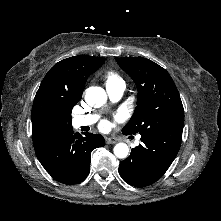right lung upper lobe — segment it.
Wrapping results in <instances>:
<instances>
[{
    "label": "right lung upper lobe",
    "instance_id": "cb5924a9",
    "mask_svg": "<svg viewBox=\"0 0 221 221\" xmlns=\"http://www.w3.org/2000/svg\"><path fill=\"white\" fill-rule=\"evenodd\" d=\"M104 59L73 56L55 64L44 77L32 107L34 148L39 149L72 130L71 111L81 100L88 77Z\"/></svg>",
    "mask_w": 221,
    "mask_h": 221
}]
</instances>
